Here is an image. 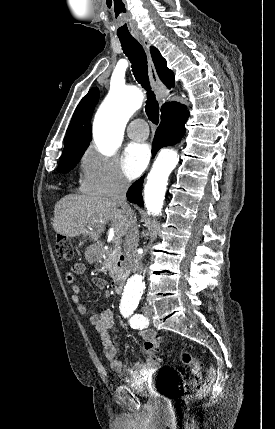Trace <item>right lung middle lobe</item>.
I'll return each instance as SVG.
<instances>
[{"mask_svg": "<svg viewBox=\"0 0 275 429\" xmlns=\"http://www.w3.org/2000/svg\"><path fill=\"white\" fill-rule=\"evenodd\" d=\"M84 152L66 155L61 157V162L57 168V172L67 173L73 169L81 159Z\"/></svg>", "mask_w": 275, "mask_h": 429, "instance_id": "right-lung-middle-lobe-1", "label": "right lung middle lobe"}]
</instances>
